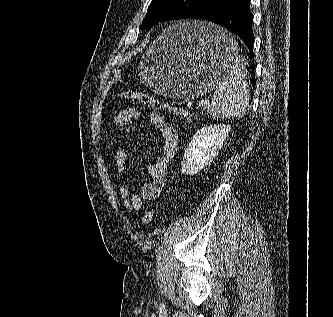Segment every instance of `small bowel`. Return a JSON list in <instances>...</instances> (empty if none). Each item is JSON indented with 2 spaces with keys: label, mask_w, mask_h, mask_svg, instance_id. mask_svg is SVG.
<instances>
[{
  "label": "small bowel",
  "mask_w": 333,
  "mask_h": 317,
  "mask_svg": "<svg viewBox=\"0 0 333 317\" xmlns=\"http://www.w3.org/2000/svg\"><path fill=\"white\" fill-rule=\"evenodd\" d=\"M139 116L140 110L138 108L129 107L119 111L114 116L113 123L129 134ZM148 117L159 131L163 143L160 154L147 166L151 180L141 187L140 192L130 191V185L126 179V152L119 148L114 153L115 165L119 175L117 190L124 207L132 212L140 211L145 200L152 201L160 197L167 183L166 172L168 166L177 152L179 143L177 131L162 116L150 113Z\"/></svg>",
  "instance_id": "small-bowel-1"
}]
</instances>
